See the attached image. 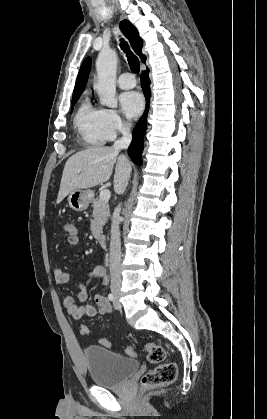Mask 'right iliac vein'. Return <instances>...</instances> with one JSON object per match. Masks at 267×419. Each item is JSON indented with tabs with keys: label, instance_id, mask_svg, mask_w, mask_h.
<instances>
[{
	"label": "right iliac vein",
	"instance_id": "63e3f726",
	"mask_svg": "<svg viewBox=\"0 0 267 419\" xmlns=\"http://www.w3.org/2000/svg\"><path fill=\"white\" fill-rule=\"evenodd\" d=\"M114 294H115L116 297H118V293L117 292H114Z\"/></svg>",
	"mask_w": 267,
	"mask_h": 419
}]
</instances>
